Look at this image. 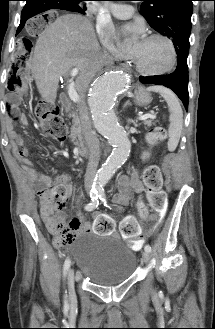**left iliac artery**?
<instances>
[{
	"label": "left iliac artery",
	"mask_w": 215,
	"mask_h": 329,
	"mask_svg": "<svg viewBox=\"0 0 215 329\" xmlns=\"http://www.w3.org/2000/svg\"><path fill=\"white\" fill-rule=\"evenodd\" d=\"M98 196H99V199L104 203V205L107 206L106 195H105V191L103 188L98 189ZM107 207H109V206H107ZM145 251L151 252V246L146 245Z\"/></svg>",
	"instance_id": "1"
}]
</instances>
